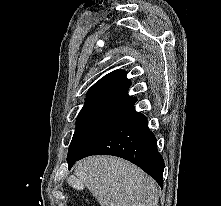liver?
Listing matches in <instances>:
<instances>
[{
	"mask_svg": "<svg viewBox=\"0 0 221 206\" xmlns=\"http://www.w3.org/2000/svg\"><path fill=\"white\" fill-rule=\"evenodd\" d=\"M67 182L77 190L87 187L101 206H158L155 181L121 158H85L76 164Z\"/></svg>",
	"mask_w": 221,
	"mask_h": 206,
	"instance_id": "liver-1",
	"label": "liver"
}]
</instances>
